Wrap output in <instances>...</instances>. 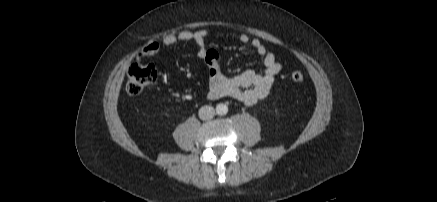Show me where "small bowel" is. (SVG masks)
<instances>
[{"instance_id": "c3829d8e", "label": "small bowel", "mask_w": 437, "mask_h": 202, "mask_svg": "<svg viewBox=\"0 0 437 202\" xmlns=\"http://www.w3.org/2000/svg\"><path fill=\"white\" fill-rule=\"evenodd\" d=\"M208 35L207 30L169 34L162 37L160 41L145 46L136 59L142 61L157 54L163 45L172 46L181 42H193L197 47L198 57L205 62L208 69V97L210 99L230 97L248 106L264 99L269 94L276 76L282 70V64L277 61L275 53L269 50L261 40L251 39L248 35L241 34L240 42L250 45L262 58L264 70L256 72L248 69L237 75L227 76L220 71L218 53L206 46Z\"/></svg>"}]
</instances>
